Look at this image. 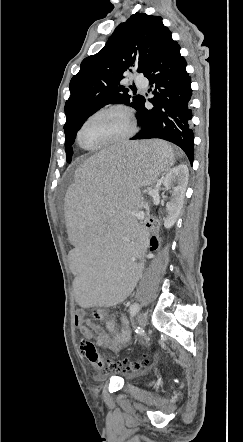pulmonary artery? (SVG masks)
I'll return each mask as SVG.
<instances>
[{
    "instance_id": "obj_1",
    "label": "pulmonary artery",
    "mask_w": 243,
    "mask_h": 442,
    "mask_svg": "<svg viewBox=\"0 0 243 442\" xmlns=\"http://www.w3.org/2000/svg\"><path fill=\"white\" fill-rule=\"evenodd\" d=\"M136 84L138 86L139 89H146L148 86V82L146 80H142V79H137L136 80Z\"/></svg>"
}]
</instances>
